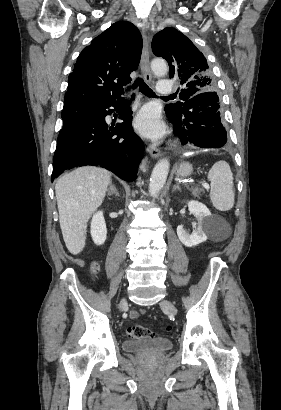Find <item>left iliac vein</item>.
<instances>
[{
	"label": "left iliac vein",
	"mask_w": 281,
	"mask_h": 410,
	"mask_svg": "<svg viewBox=\"0 0 281 410\" xmlns=\"http://www.w3.org/2000/svg\"><path fill=\"white\" fill-rule=\"evenodd\" d=\"M161 307L168 310L171 314L175 315L177 313L176 307L168 300L164 299L160 303Z\"/></svg>",
	"instance_id": "4c4485c4"
}]
</instances>
